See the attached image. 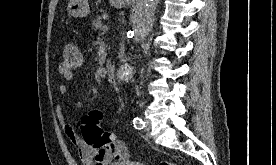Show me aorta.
Instances as JSON below:
<instances>
[{
  "mask_svg": "<svg viewBox=\"0 0 276 165\" xmlns=\"http://www.w3.org/2000/svg\"><path fill=\"white\" fill-rule=\"evenodd\" d=\"M134 5V31L137 39L147 37L153 28L159 0H132ZM128 71V69H127Z\"/></svg>",
  "mask_w": 276,
  "mask_h": 165,
  "instance_id": "762f6f07",
  "label": "aorta"
}]
</instances>
